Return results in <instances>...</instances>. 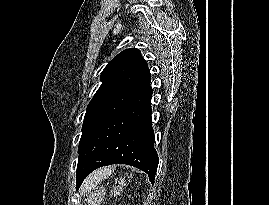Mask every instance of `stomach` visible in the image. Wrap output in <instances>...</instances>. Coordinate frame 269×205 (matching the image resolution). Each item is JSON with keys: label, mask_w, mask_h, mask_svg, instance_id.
Returning <instances> with one entry per match:
<instances>
[{"label": "stomach", "mask_w": 269, "mask_h": 205, "mask_svg": "<svg viewBox=\"0 0 269 205\" xmlns=\"http://www.w3.org/2000/svg\"><path fill=\"white\" fill-rule=\"evenodd\" d=\"M105 197V190L103 188L94 190L88 197V205H100Z\"/></svg>", "instance_id": "0dacf381"}]
</instances>
